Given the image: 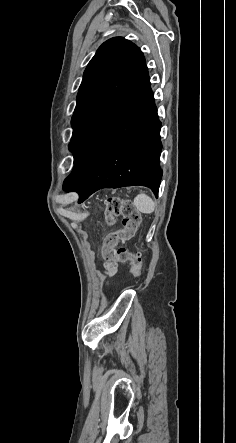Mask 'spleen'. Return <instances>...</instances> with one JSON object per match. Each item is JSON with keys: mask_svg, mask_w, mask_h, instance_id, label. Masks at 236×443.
I'll return each mask as SVG.
<instances>
[{"mask_svg": "<svg viewBox=\"0 0 236 443\" xmlns=\"http://www.w3.org/2000/svg\"><path fill=\"white\" fill-rule=\"evenodd\" d=\"M134 204L140 212L145 214L154 212L156 206L154 201L143 192H140V194L135 197Z\"/></svg>", "mask_w": 236, "mask_h": 443, "instance_id": "3e777b00", "label": "spleen"}]
</instances>
